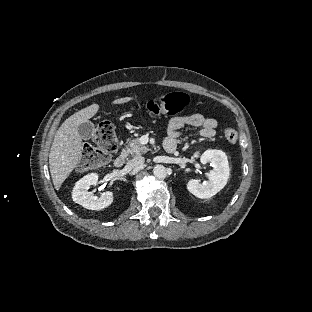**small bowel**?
<instances>
[{"label":"small bowel","mask_w":312,"mask_h":312,"mask_svg":"<svg viewBox=\"0 0 312 312\" xmlns=\"http://www.w3.org/2000/svg\"><path fill=\"white\" fill-rule=\"evenodd\" d=\"M185 127H198L203 137L212 138L216 133L218 122L214 118L206 117L199 113L172 117L168 122L165 143H174L176 145L180 138L181 130Z\"/></svg>","instance_id":"small-bowel-1"}]
</instances>
